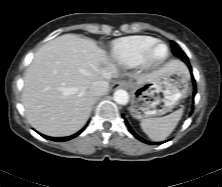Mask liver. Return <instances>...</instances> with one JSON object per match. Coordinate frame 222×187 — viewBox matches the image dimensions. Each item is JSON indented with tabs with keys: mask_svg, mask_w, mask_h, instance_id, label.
Wrapping results in <instances>:
<instances>
[{
	"mask_svg": "<svg viewBox=\"0 0 222 187\" xmlns=\"http://www.w3.org/2000/svg\"><path fill=\"white\" fill-rule=\"evenodd\" d=\"M162 69L186 70L174 60ZM162 69L136 76L138 83L151 81ZM118 74L106 52L93 40L74 34L61 35L44 44L26 70L22 104L29 124L55 137L69 136L87 122L98 96L96 81H110Z\"/></svg>",
	"mask_w": 222,
	"mask_h": 187,
	"instance_id": "liver-1",
	"label": "liver"
}]
</instances>
